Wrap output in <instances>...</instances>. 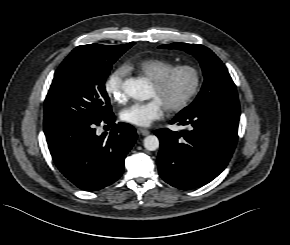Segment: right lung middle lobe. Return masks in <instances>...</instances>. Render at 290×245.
<instances>
[{"label": "right lung middle lobe", "mask_w": 290, "mask_h": 245, "mask_svg": "<svg viewBox=\"0 0 290 245\" xmlns=\"http://www.w3.org/2000/svg\"><path fill=\"white\" fill-rule=\"evenodd\" d=\"M134 42L76 47L55 72L44 105V126L103 120L111 113L105 80L113 63Z\"/></svg>", "instance_id": "1"}]
</instances>
